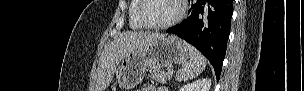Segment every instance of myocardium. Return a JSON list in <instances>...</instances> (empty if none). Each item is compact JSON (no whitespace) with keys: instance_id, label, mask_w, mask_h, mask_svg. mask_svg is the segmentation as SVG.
I'll use <instances>...</instances> for the list:
<instances>
[{"instance_id":"obj_1","label":"myocardium","mask_w":304,"mask_h":91,"mask_svg":"<svg viewBox=\"0 0 304 91\" xmlns=\"http://www.w3.org/2000/svg\"><path fill=\"white\" fill-rule=\"evenodd\" d=\"M178 3L179 11L177 15L171 19L170 21L162 24H151L147 22L144 18L143 11L146 6V0H138L139 2V7L137 10V17L140 21V23L148 28V29H153V30H162V29H167L170 28L176 24H178L185 16L186 11H187V6H186V1L185 0H176Z\"/></svg>"}]
</instances>
